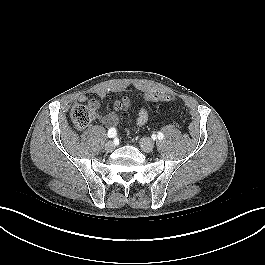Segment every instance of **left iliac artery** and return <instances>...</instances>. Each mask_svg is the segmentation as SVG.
I'll return each mask as SVG.
<instances>
[{
	"label": "left iliac artery",
	"instance_id": "left-iliac-artery-1",
	"mask_svg": "<svg viewBox=\"0 0 265 265\" xmlns=\"http://www.w3.org/2000/svg\"><path fill=\"white\" fill-rule=\"evenodd\" d=\"M157 137H158L159 140H162L163 137H164V135H163V133L159 132L158 135H157Z\"/></svg>",
	"mask_w": 265,
	"mask_h": 265
}]
</instances>
